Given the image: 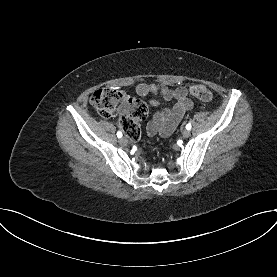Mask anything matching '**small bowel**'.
I'll list each match as a JSON object with an SVG mask.
<instances>
[{
	"label": "small bowel",
	"mask_w": 277,
	"mask_h": 277,
	"mask_svg": "<svg viewBox=\"0 0 277 277\" xmlns=\"http://www.w3.org/2000/svg\"><path fill=\"white\" fill-rule=\"evenodd\" d=\"M135 91L139 96L149 98L151 106H159L162 102L175 100L176 103L171 108H163L153 113L152 119L146 126V133L149 136L159 134L161 136L170 135L177 127L184 114L191 110L194 106L193 101L188 97L185 87L169 88L164 85L153 83H139L135 87ZM139 134L132 139H138Z\"/></svg>",
	"instance_id": "1"
}]
</instances>
